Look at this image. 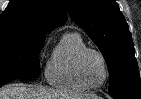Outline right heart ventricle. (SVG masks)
<instances>
[{"label":"right heart ventricle","instance_id":"1","mask_svg":"<svg viewBox=\"0 0 141 99\" xmlns=\"http://www.w3.org/2000/svg\"><path fill=\"white\" fill-rule=\"evenodd\" d=\"M86 47L82 37L76 32H67L54 47L45 66L46 81L53 87L70 92H80L86 88L75 74V60Z\"/></svg>","mask_w":141,"mask_h":99}]
</instances>
